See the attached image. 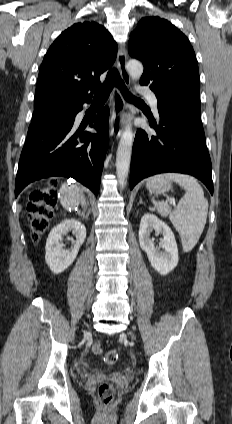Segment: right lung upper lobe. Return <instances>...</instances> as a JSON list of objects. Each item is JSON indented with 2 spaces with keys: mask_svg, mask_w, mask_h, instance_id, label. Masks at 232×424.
Returning a JSON list of instances; mask_svg holds the SVG:
<instances>
[{
  "mask_svg": "<svg viewBox=\"0 0 232 424\" xmlns=\"http://www.w3.org/2000/svg\"><path fill=\"white\" fill-rule=\"evenodd\" d=\"M116 54V42L98 23H76L62 32L41 64L35 109L91 101L87 86L100 84V75L113 64Z\"/></svg>",
  "mask_w": 232,
  "mask_h": 424,
  "instance_id": "cb5924a9",
  "label": "right lung upper lobe"
}]
</instances>
